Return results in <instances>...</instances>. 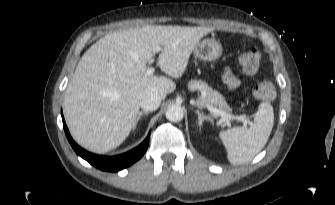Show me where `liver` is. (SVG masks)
I'll return each mask as SVG.
<instances>
[{
    "mask_svg": "<svg viewBox=\"0 0 335 205\" xmlns=\"http://www.w3.org/2000/svg\"><path fill=\"white\" fill-rule=\"evenodd\" d=\"M211 27L146 25L109 33L79 60L66 88L64 112L74 140L94 153L118 147L134 127L145 91L162 99L175 90L169 78L147 74L161 48L158 66L168 76L181 78L190 55Z\"/></svg>",
    "mask_w": 335,
    "mask_h": 205,
    "instance_id": "liver-1",
    "label": "liver"
}]
</instances>
